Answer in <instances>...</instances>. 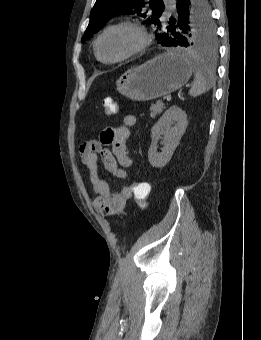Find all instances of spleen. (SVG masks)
Masks as SVG:
<instances>
[{"instance_id":"obj_1","label":"spleen","mask_w":261,"mask_h":340,"mask_svg":"<svg viewBox=\"0 0 261 340\" xmlns=\"http://www.w3.org/2000/svg\"><path fill=\"white\" fill-rule=\"evenodd\" d=\"M193 70L195 73V79L189 94L193 97L203 94L214 85V77L211 72L199 63H195Z\"/></svg>"}]
</instances>
